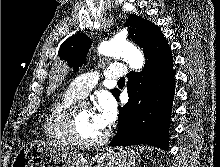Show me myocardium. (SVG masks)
<instances>
[{"instance_id": "1", "label": "myocardium", "mask_w": 220, "mask_h": 167, "mask_svg": "<svg viewBox=\"0 0 220 167\" xmlns=\"http://www.w3.org/2000/svg\"><path fill=\"white\" fill-rule=\"evenodd\" d=\"M82 107L90 108L89 104L86 101H76L69 107L66 112L63 125L68 139L73 145L82 148H93L105 144L110 136V132L108 130H106L104 134L96 140H83L78 135L77 115L79 109Z\"/></svg>"}]
</instances>
